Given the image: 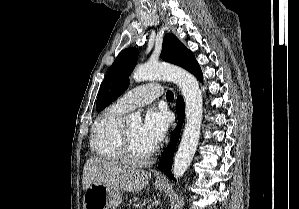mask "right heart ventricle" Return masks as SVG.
Returning <instances> with one entry per match:
<instances>
[{"mask_svg": "<svg viewBox=\"0 0 299 209\" xmlns=\"http://www.w3.org/2000/svg\"><path fill=\"white\" fill-rule=\"evenodd\" d=\"M124 113L116 104H113L94 122L90 145L99 157L114 162H125L121 151Z\"/></svg>", "mask_w": 299, "mask_h": 209, "instance_id": "e07e8e85", "label": "right heart ventricle"}]
</instances>
